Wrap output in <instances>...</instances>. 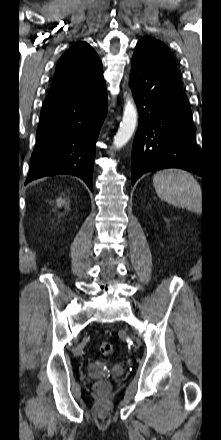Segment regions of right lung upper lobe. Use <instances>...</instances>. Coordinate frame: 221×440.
<instances>
[{"label":"right lung upper lobe","instance_id":"obj_1","mask_svg":"<svg viewBox=\"0 0 221 440\" xmlns=\"http://www.w3.org/2000/svg\"><path fill=\"white\" fill-rule=\"evenodd\" d=\"M103 81L98 55L86 42H78L59 59L50 93L91 88Z\"/></svg>","mask_w":221,"mask_h":440}]
</instances>
